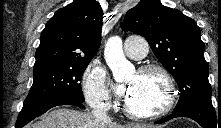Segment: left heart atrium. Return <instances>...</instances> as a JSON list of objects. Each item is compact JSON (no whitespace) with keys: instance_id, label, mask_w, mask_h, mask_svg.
<instances>
[{"instance_id":"obj_1","label":"left heart atrium","mask_w":221,"mask_h":128,"mask_svg":"<svg viewBox=\"0 0 221 128\" xmlns=\"http://www.w3.org/2000/svg\"><path fill=\"white\" fill-rule=\"evenodd\" d=\"M131 88L127 87V88H121L118 90V95L121 97L126 98L130 92Z\"/></svg>"}]
</instances>
